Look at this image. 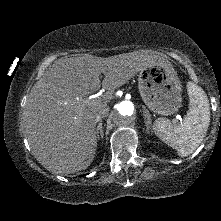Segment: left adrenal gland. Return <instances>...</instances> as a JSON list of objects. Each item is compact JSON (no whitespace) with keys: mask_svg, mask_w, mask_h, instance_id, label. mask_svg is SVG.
I'll return each instance as SVG.
<instances>
[{"mask_svg":"<svg viewBox=\"0 0 221 221\" xmlns=\"http://www.w3.org/2000/svg\"><path fill=\"white\" fill-rule=\"evenodd\" d=\"M143 116H144V123L146 125V131L149 132L152 129V121H151V114L147 109H143Z\"/></svg>","mask_w":221,"mask_h":221,"instance_id":"a2214340","label":"left adrenal gland"}]
</instances>
